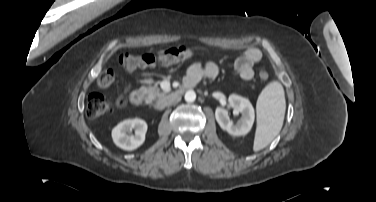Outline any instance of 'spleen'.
<instances>
[{"label": "spleen", "instance_id": "1", "mask_svg": "<svg viewBox=\"0 0 376 202\" xmlns=\"http://www.w3.org/2000/svg\"><path fill=\"white\" fill-rule=\"evenodd\" d=\"M286 102L281 83H269L261 92L257 100V129L254 138V151L265 148L280 132Z\"/></svg>", "mask_w": 376, "mask_h": 202}]
</instances>
